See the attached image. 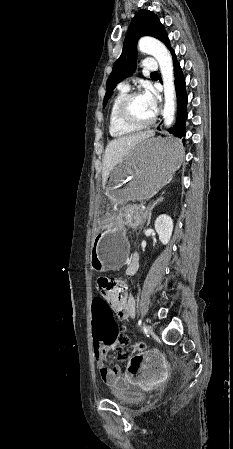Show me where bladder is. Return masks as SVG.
<instances>
[{"mask_svg": "<svg viewBox=\"0 0 233 449\" xmlns=\"http://www.w3.org/2000/svg\"><path fill=\"white\" fill-rule=\"evenodd\" d=\"M114 400L125 406L135 405L143 402L144 397L133 388L119 387L112 390Z\"/></svg>", "mask_w": 233, "mask_h": 449, "instance_id": "obj_1", "label": "bladder"}]
</instances>
